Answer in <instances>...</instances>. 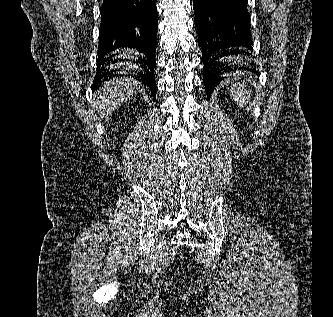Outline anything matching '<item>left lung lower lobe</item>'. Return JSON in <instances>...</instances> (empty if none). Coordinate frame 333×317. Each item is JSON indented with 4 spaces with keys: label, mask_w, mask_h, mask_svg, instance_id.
<instances>
[{
    "label": "left lung lower lobe",
    "mask_w": 333,
    "mask_h": 317,
    "mask_svg": "<svg viewBox=\"0 0 333 317\" xmlns=\"http://www.w3.org/2000/svg\"><path fill=\"white\" fill-rule=\"evenodd\" d=\"M247 5L248 0H194V23L202 49L201 60L208 99L229 71L228 63L223 58L236 54V50L232 49L234 47L252 50Z\"/></svg>",
    "instance_id": "left-lung-lower-lobe-1"
}]
</instances>
